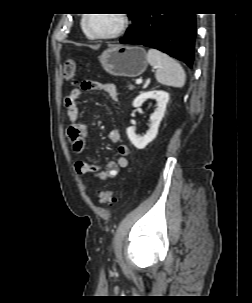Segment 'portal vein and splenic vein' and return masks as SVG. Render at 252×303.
Returning a JSON list of instances; mask_svg holds the SVG:
<instances>
[{
    "label": "portal vein and splenic vein",
    "instance_id": "1",
    "mask_svg": "<svg viewBox=\"0 0 252 303\" xmlns=\"http://www.w3.org/2000/svg\"><path fill=\"white\" fill-rule=\"evenodd\" d=\"M135 83H136L137 85L141 84V83H142V79H141V78L137 79Z\"/></svg>",
    "mask_w": 252,
    "mask_h": 303
}]
</instances>
